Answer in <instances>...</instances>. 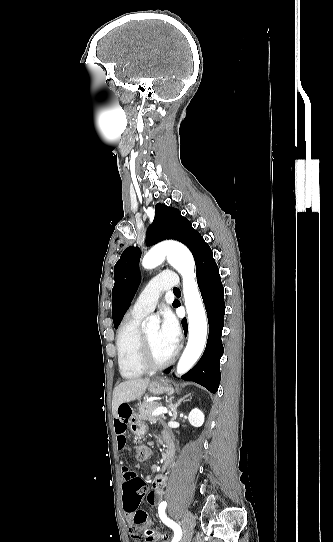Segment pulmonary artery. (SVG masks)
<instances>
[{"label":"pulmonary artery","mask_w":333,"mask_h":542,"mask_svg":"<svg viewBox=\"0 0 333 542\" xmlns=\"http://www.w3.org/2000/svg\"><path fill=\"white\" fill-rule=\"evenodd\" d=\"M177 279V275L168 270L157 274L155 278H151L144 289L146 294L144 291L139 294L130 313L134 316H145L151 313L156 308L162 293L169 292L179 284Z\"/></svg>","instance_id":"pulmonary-artery-1"}]
</instances>
